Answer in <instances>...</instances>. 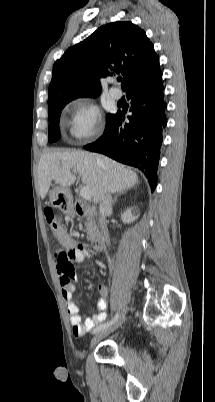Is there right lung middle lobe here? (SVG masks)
Segmentation results:
<instances>
[{
  "label": "right lung middle lobe",
  "mask_w": 215,
  "mask_h": 402,
  "mask_svg": "<svg viewBox=\"0 0 215 402\" xmlns=\"http://www.w3.org/2000/svg\"><path fill=\"white\" fill-rule=\"evenodd\" d=\"M95 97V96H93ZM75 98H58L48 104L49 108V128L48 140L49 142L57 141L60 138L59 120L60 114L64 106ZM113 114H107L106 122L112 117Z\"/></svg>",
  "instance_id": "dd1d6c3e"
}]
</instances>
